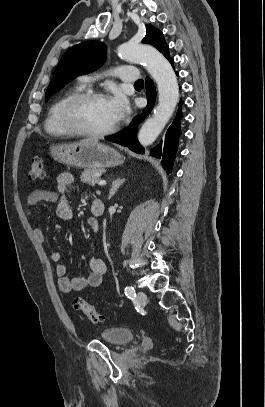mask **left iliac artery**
Returning a JSON list of instances; mask_svg holds the SVG:
<instances>
[{"label":"left iliac artery","instance_id":"left-iliac-artery-1","mask_svg":"<svg viewBox=\"0 0 265 407\" xmlns=\"http://www.w3.org/2000/svg\"><path fill=\"white\" fill-rule=\"evenodd\" d=\"M125 295L128 298L136 297L135 289L132 286H128L125 288Z\"/></svg>","mask_w":265,"mask_h":407}]
</instances>
